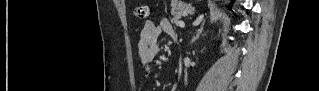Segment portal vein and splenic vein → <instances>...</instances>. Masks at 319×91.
<instances>
[{
	"label": "portal vein and splenic vein",
	"instance_id": "portal-vein-and-splenic-vein-1",
	"mask_svg": "<svg viewBox=\"0 0 319 91\" xmlns=\"http://www.w3.org/2000/svg\"><path fill=\"white\" fill-rule=\"evenodd\" d=\"M178 25H179V27H181V28H184V27H185V24H184V22H182V21H179V22H178Z\"/></svg>",
	"mask_w": 319,
	"mask_h": 91
}]
</instances>
